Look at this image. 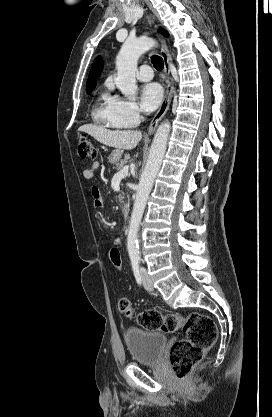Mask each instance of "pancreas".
<instances>
[{"label":"pancreas","mask_w":272,"mask_h":417,"mask_svg":"<svg viewBox=\"0 0 272 417\" xmlns=\"http://www.w3.org/2000/svg\"><path fill=\"white\" fill-rule=\"evenodd\" d=\"M130 159V156L127 154L125 155L124 159L120 161V163L116 164V169L119 171L121 170L127 163V161ZM118 199L120 202L123 200V194H119Z\"/></svg>","instance_id":"cf45deb5"}]
</instances>
